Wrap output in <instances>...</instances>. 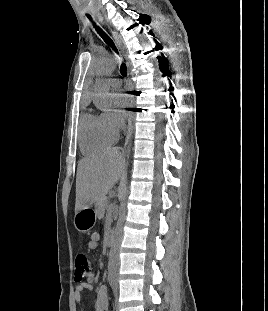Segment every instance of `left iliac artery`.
<instances>
[{
    "mask_svg": "<svg viewBox=\"0 0 268 311\" xmlns=\"http://www.w3.org/2000/svg\"><path fill=\"white\" fill-rule=\"evenodd\" d=\"M113 293L116 296V294H117V283L115 281L113 282Z\"/></svg>",
    "mask_w": 268,
    "mask_h": 311,
    "instance_id": "1",
    "label": "left iliac artery"
}]
</instances>
